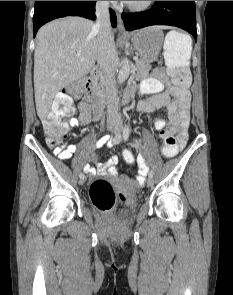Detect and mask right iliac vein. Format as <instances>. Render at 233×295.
<instances>
[{
  "label": "right iliac vein",
  "mask_w": 233,
  "mask_h": 295,
  "mask_svg": "<svg viewBox=\"0 0 233 295\" xmlns=\"http://www.w3.org/2000/svg\"><path fill=\"white\" fill-rule=\"evenodd\" d=\"M110 131L116 133V132H117V129H116L115 127H110ZM85 181H86V178H85V176H84V177L80 178V180H79V184H80V185H83Z\"/></svg>",
  "instance_id": "63e3f726"
}]
</instances>
